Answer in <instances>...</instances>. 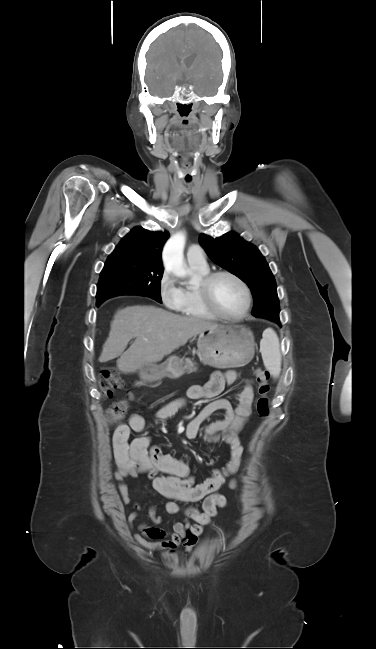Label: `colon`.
<instances>
[{"mask_svg":"<svg viewBox=\"0 0 376 649\" xmlns=\"http://www.w3.org/2000/svg\"><path fill=\"white\" fill-rule=\"evenodd\" d=\"M255 380L257 383V392L259 398L257 400V413L260 417L266 418L270 414L269 406V391H270V373L263 367H258L255 372ZM100 389L105 397H111L113 392L121 389L124 382L116 370L106 369L100 374ZM131 397L121 399L113 402L105 411L107 420L110 423H115L123 418L129 409V402Z\"/></svg>","mask_w":376,"mask_h":649,"instance_id":"colon-1","label":"colon"}]
</instances>
